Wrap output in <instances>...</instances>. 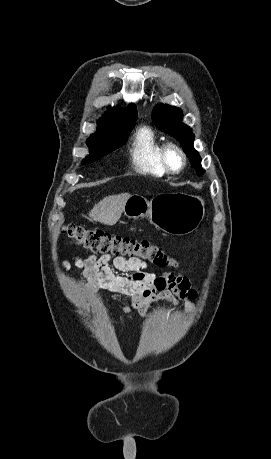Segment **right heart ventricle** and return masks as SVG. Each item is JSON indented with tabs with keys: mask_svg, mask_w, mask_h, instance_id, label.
Listing matches in <instances>:
<instances>
[{
	"mask_svg": "<svg viewBox=\"0 0 271 459\" xmlns=\"http://www.w3.org/2000/svg\"><path fill=\"white\" fill-rule=\"evenodd\" d=\"M162 144L161 137L152 127L142 126L136 131L130 148V158L138 173L153 177L168 175L160 156Z\"/></svg>",
	"mask_w": 271,
	"mask_h": 459,
	"instance_id": "e07e8e85",
	"label": "right heart ventricle"
}]
</instances>
